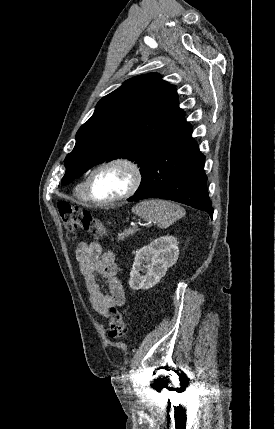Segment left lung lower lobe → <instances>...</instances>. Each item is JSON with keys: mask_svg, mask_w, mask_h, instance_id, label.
Segmentation results:
<instances>
[{"mask_svg": "<svg viewBox=\"0 0 275 429\" xmlns=\"http://www.w3.org/2000/svg\"><path fill=\"white\" fill-rule=\"evenodd\" d=\"M205 156L183 120L176 133L153 156L142 181L128 201L161 198L180 202L213 216L204 172Z\"/></svg>", "mask_w": 275, "mask_h": 429, "instance_id": "left-lung-lower-lobe-1", "label": "left lung lower lobe"}]
</instances>
